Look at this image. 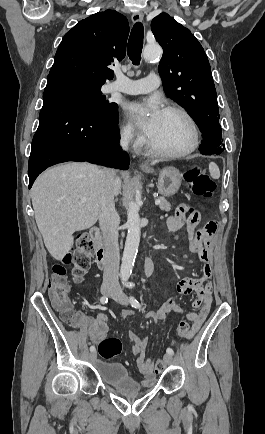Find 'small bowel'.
Returning <instances> with one entry per match:
<instances>
[{"instance_id":"1","label":"small bowel","mask_w":265,"mask_h":434,"mask_svg":"<svg viewBox=\"0 0 265 434\" xmlns=\"http://www.w3.org/2000/svg\"><path fill=\"white\" fill-rule=\"evenodd\" d=\"M187 206L180 205L175 213L167 219V229L170 232H176L186 226L190 238V251L195 253L199 260L203 263L200 274L197 277H184L179 280L176 286V291L181 294H190L195 292L197 297L192 305L198 309V312H187L184 318L189 321L190 333L188 339L193 338L200 330L207 316L210 313L212 305V284L210 282L212 276V266L210 263V246L215 232L202 237L199 235L203 228L195 233V227L199 222V215L196 214L189 219H186ZM215 223V222H214ZM216 224V223H215ZM123 312V318H136L138 315L127 306ZM183 308L176 302L175 296H170L159 308L158 311L151 310L150 317L156 323H164L170 313H183ZM148 311L143 313V318H148ZM108 318L105 314H98L92 318L84 312L77 311L74 315L72 325L85 331L93 343H97L106 337L108 333ZM129 340L132 342L133 352L138 354L137 365L145 377L147 385H152L155 380L153 370V361L146 358L145 353L148 347V339H139L133 334L129 335Z\"/></svg>"}]
</instances>
